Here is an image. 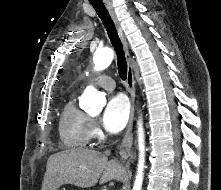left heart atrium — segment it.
I'll use <instances>...</instances> for the list:
<instances>
[{
  "label": "left heart atrium",
  "mask_w": 221,
  "mask_h": 190,
  "mask_svg": "<svg viewBox=\"0 0 221 190\" xmlns=\"http://www.w3.org/2000/svg\"><path fill=\"white\" fill-rule=\"evenodd\" d=\"M130 106L123 95H115L108 99L102 115V125L108 132L117 133L127 124Z\"/></svg>",
  "instance_id": "1"
}]
</instances>
